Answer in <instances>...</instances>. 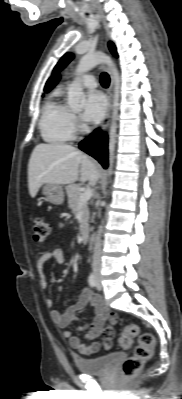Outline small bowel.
<instances>
[{
    "mask_svg": "<svg viewBox=\"0 0 182 399\" xmlns=\"http://www.w3.org/2000/svg\"><path fill=\"white\" fill-rule=\"evenodd\" d=\"M48 261H55L59 264L67 262V258L62 248H54L44 252L37 261V270L40 276V287L46 289L48 281L46 279L44 268ZM54 304L53 298L46 299V305L52 308ZM88 304L93 309L95 316L92 321L80 327V330L86 332L85 339L76 335L73 331L65 330L63 336L68 339L69 345L77 350L82 355L94 356L99 353L101 349H110L115 335L113 325L118 321V315L109 311V309L102 303L99 296L92 293L88 288H84L73 304L69 305L63 312L52 309L50 316L52 321L60 328H66L71 323L78 320V312L83 310ZM109 323L106 325V323Z\"/></svg>",
    "mask_w": 182,
    "mask_h": 399,
    "instance_id": "1",
    "label": "small bowel"
}]
</instances>
